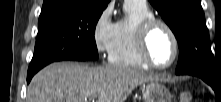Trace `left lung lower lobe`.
<instances>
[{
    "label": "left lung lower lobe",
    "mask_w": 221,
    "mask_h": 102,
    "mask_svg": "<svg viewBox=\"0 0 221 102\" xmlns=\"http://www.w3.org/2000/svg\"><path fill=\"white\" fill-rule=\"evenodd\" d=\"M186 75H193L202 78L206 83L214 87L215 78L209 75H204L201 73H186Z\"/></svg>",
    "instance_id": "obj_1"
}]
</instances>
